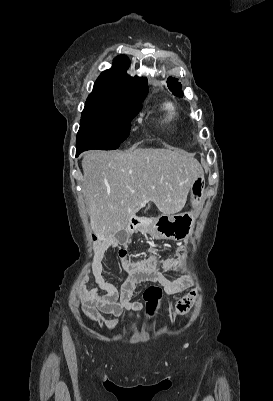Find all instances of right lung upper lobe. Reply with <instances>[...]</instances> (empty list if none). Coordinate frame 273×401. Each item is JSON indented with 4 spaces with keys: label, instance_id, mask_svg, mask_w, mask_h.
<instances>
[{
    "label": "right lung upper lobe",
    "instance_id": "obj_1",
    "mask_svg": "<svg viewBox=\"0 0 273 401\" xmlns=\"http://www.w3.org/2000/svg\"><path fill=\"white\" fill-rule=\"evenodd\" d=\"M128 66L129 59L125 55L117 56L114 68L101 73L87 100L140 107L148 92L147 79L128 76Z\"/></svg>",
    "mask_w": 273,
    "mask_h": 401
}]
</instances>
